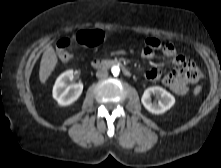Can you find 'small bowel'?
<instances>
[{"instance_id": "c3829d8e", "label": "small bowel", "mask_w": 221, "mask_h": 168, "mask_svg": "<svg viewBox=\"0 0 221 168\" xmlns=\"http://www.w3.org/2000/svg\"><path fill=\"white\" fill-rule=\"evenodd\" d=\"M160 49H162L166 57L174 59L175 69L163 76L159 68L153 67L146 72V78L150 81L161 80L165 86L177 95L186 94L188 92V83L196 82L200 78L199 69L187 58L176 56L177 52L172 44H164ZM141 54L143 58L151 59L154 57L155 50L144 46Z\"/></svg>"}]
</instances>
